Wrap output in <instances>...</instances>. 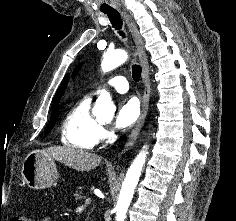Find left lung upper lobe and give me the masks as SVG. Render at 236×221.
Returning a JSON list of instances; mask_svg holds the SVG:
<instances>
[{
	"mask_svg": "<svg viewBox=\"0 0 236 221\" xmlns=\"http://www.w3.org/2000/svg\"><path fill=\"white\" fill-rule=\"evenodd\" d=\"M81 67H82V63H80V64L75 68V70H74V72H73V76H75V75L78 73V71L81 69Z\"/></svg>",
	"mask_w": 236,
	"mask_h": 221,
	"instance_id": "5c2ea615",
	"label": "left lung upper lobe"
}]
</instances>
